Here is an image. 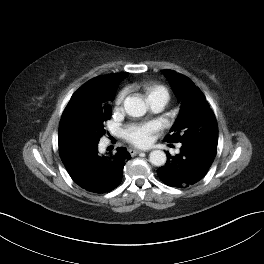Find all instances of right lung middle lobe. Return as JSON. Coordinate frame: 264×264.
Wrapping results in <instances>:
<instances>
[{
  "label": "right lung middle lobe",
  "mask_w": 264,
  "mask_h": 264,
  "mask_svg": "<svg viewBox=\"0 0 264 264\" xmlns=\"http://www.w3.org/2000/svg\"><path fill=\"white\" fill-rule=\"evenodd\" d=\"M111 113V105L107 104L76 116L59 132L58 140L75 138L99 140L105 134L104 122L111 118Z\"/></svg>",
  "instance_id": "1"
}]
</instances>
